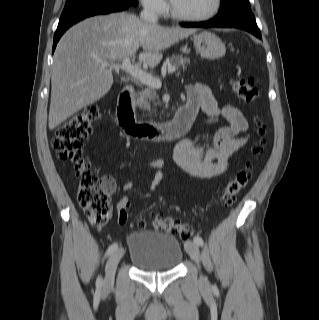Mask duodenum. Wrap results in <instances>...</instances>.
I'll return each instance as SVG.
<instances>
[{
	"label": "duodenum",
	"instance_id": "410a0bca",
	"mask_svg": "<svg viewBox=\"0 0 319 320\" xmlns=\"http://www.w3.org/2000/svg\"><path fill=\"white\" fill-rule=\"evenodd\" d=\"M196 111L186 105L180 107L172 121L148 123L137 121L133 109V87L126 86L119 94L117 120L126 134L136 140L168 141L186 133L191 127Z\"/></svg>",
	"mask_w": 319,
	"mask_h": 320
}]
</instances>
